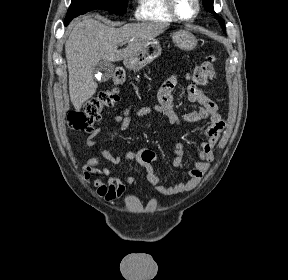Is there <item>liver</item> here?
<instances>
[{
    "mask_svg": "<svg viewBox=\"0 0 288 280\" xmlns=\"http://www.w3.org/2000/svg\"><path fill=\"white\" fill-rule=\"evenodd\" d=\"M167 23H129L120 28L104 25L90 16L79 21L65 43L70 100L79 111L96 92L93 71L101 61L116 62L137 53L146 42L162 34ZM127 41V47L118 45Z\"/></svg>",
    "mask_w": 288,
    "mask_h": 280,
    "instance_id": "6515ba94",
    "label": "liver"
}]
</instances>
